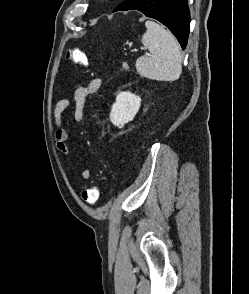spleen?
<instances>
[{
  "instance_id": "3e777b00",
  "label": "spleen",
  "mask_w": 249,
  "mask_h": 294,
  "mask_svg": "<svg viewBox=\"0 0 249 294\" xmlns=\"http://www.w3.org/2000/svg\"><path fill=\"white\" fill-rule=\"evenodd\" d=\"M146 33L142 36L143 45L149 50V56L136 60L137 72L145 78L157 81H175L182 72L180 46L163 26L148 20Z\"/></svg>"
}]
</instances>
